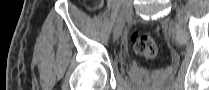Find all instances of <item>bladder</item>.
Returning <instances> with one entry per match:
<instances>
[{
	"mask_svg": "<svg viewBox=\"0 0 209 90\" xmlns=\"http://www.w3.org/2000/svg\"><path fill=\"white\" fill-rule=\"evenodd\" d=\"M146 81H148V82H151V79L149 78V79H146ZM146 87H154V85H152V84H148V85H145Z\"/></svg>",
	"mask_w": 209,
	"mask_h": 90,
	"instance_id": "obj_1",
	"label": "bladder"
}]
</instances>
